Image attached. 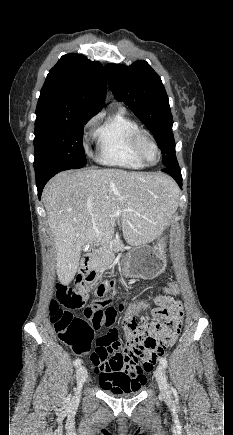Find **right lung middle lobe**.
<instances>
[{
    "label": "right lung middle lobe",
    "instance_id": "dd1d6c3e",
    "mask_svg": "<svg viewBox=\"0 0 233 435\" xmlns=\"http://www.w3.org/2000/svg\"><path fill=\"white\" fill-rule=\"evenodd\" d=\"M91 117H38L34 131L35 171L54 166L68 170L84 167L83 128Z\"/></svg>",
    "mask_w": 233,
    "mask_h": 435
}]
</instances>
